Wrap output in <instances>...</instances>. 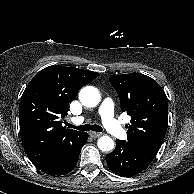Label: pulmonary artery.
Segmentation results:
<instances>
[{
  "label": "pulmonary artery",
  "mask_w": 194,
  "mask_h": 194,
  "mask_svg": "<svg viewBox=\"0 0 194 194\" xmlns=\"http://www.w3.org/2000/svg\"><path fill=\"white\" fill-rule=\"evenodd\" d=\"M99 115L106 130L116 138H124L126 135L125 129L114 118V103L110 98H106L102 101L99 108ZM83 117H77L74 119L76 123H82Z\"/></svg>",
  "instance_id": "pulmonary-artery-1"
}]
</instances>
